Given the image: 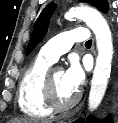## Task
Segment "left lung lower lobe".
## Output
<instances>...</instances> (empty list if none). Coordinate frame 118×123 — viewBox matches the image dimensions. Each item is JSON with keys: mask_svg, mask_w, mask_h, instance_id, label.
I'll use <instances>...</instances> for the list:
<instances>
[{"mask_svg": "<svg viewBox=\"0 0 118 123\" xmlns=\"http://www.w3.org/2000/svg\"><path fill=\"white\" fill-rule=\"evenodd\" d=\"M74 123H84V119H78L77 121H75ZM87 123H110L109 120H104V121H96L93 118H89Z\"/></svg>", "mask_w": 118, "mask_h": 123, "instance_id": "1", "label": "left lung lower lobe"}]
</instances>
